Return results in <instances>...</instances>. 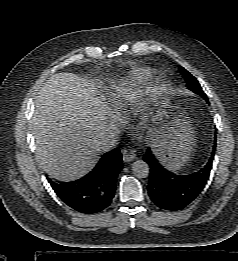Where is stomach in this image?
<instances>
[{"mask_svg": "<svg viewBox=\"0 0 238 261\" xmlns=\"http://www.w3.org/2000/svg\"><path fill=\"white\" fill-rule=\"evenodd\" d=\"M146 109L153 113L148 128L152 150L170 170H178L189 159L194 146V131L190 118L179 107L167 103L158 93L150 94Z\"/></svg>", "mask_w": 238, "mask_h": 261, "instance_id": "obj_1", "label": "stomach"}]
</instances>
